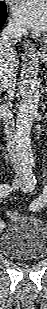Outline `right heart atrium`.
<instances>
[{
	"mask_svg": "<svg viewBox=\"0 0 47 309\" xmlns=\"http://www.w3.org/2000/svg\"><path fill=\"white\" fill-rule=\"evenodd\" d=\"M9 28L16 34H23L25 32L24 27L16 19L13 18L9 22Z\"/></svg>",
	"mask_w": 47,
	"mask_h": 309,
	"instance_id": "obj_1",
	"label": "right heart atrium"
}]
</instances>
